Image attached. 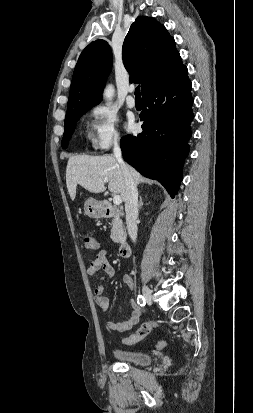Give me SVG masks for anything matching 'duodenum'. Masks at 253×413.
I'll return each mask as SVG.
<instances>
[{"label":"duodenum","instance_id":"obj_1","mask_svg":"<svg viewBox=\"0 0 253 413\" xmlns=\"http://www.w3.org/2000/svg\"><path fill=\"white\" fill-rule=\"evenodd\" d=\"M103 214L106 217H110L116 214L118 211L110 204L103 205ZM131 254V247L127 241H121L119 244V255L121 258H128Z\"/></svg>","mask_w":253,"mask_h":413}]
</instances>
